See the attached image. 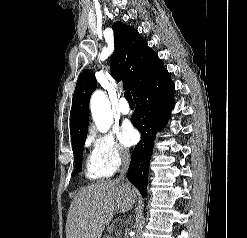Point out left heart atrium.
Here are the masks:
<instances>
[{
	"mask_svg": "<svg viewBox=\"0 0 247 238\" xmlns=\"http://www.w3.org/2000/svg\"><path fill=\"white\" fill-rule=\"evenodd\" d=\"M119 138L125 146H131L136 143L138 134L130 123H125L119 130Z\"/></svg>",
	"mask_w": 247,
	"mask_h": 238,
	"instance_id": "1",
	"label": "left heart atrium"
}]
</instances>
